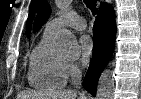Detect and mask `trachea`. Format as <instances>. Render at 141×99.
Returning <instances> with one entry per match:
<instances>
[{
  "label": "trachea",
  "mask_w": 141,
  "mask_h": 99,
  "mask_svg": "<svg viewBox=\"0 0 141 99\" xmlns=\"http://www.w3.org/2000/svg\"><path fill=\"white\" fill-rule=\"evenodd\" d=\"M84 3L92 11L93 14L97 13L96 7L97 0H84Z\"/></svg>",
  "instance_id": "trachea-1"
}]
</instances>
